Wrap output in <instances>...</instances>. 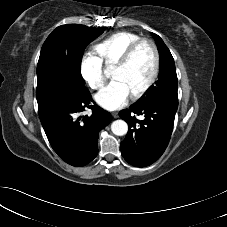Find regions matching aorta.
Instances as JSON below:
<instances>
[{
	"label": "aorta",
	"instance_id": "obj_1",
	"mask_svg": "<svg viewBox=\"0 0 227 227\" xmlns=\"http://www.w3.org/2000/svg\"><path fill=\"white\" fill-rule=\"evenodd\" d=\"M111 131L117 136H123L128 131V125L123 120H116L111 124Z\"/></svg>",
	"mask_w": 227,
	"mask_h": 227
}]
</instances>
